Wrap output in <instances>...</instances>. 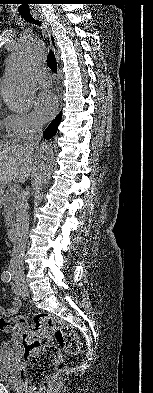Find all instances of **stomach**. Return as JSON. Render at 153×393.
I'll use <instances>...</instances> for the list:
<instances>
[{
    "mask_svg": "<svg viewBox=\"0 0 153 393\" xmlns=\"http://www.w3.org/2000/svg\"><path fill=\"white\" fill-rule=\"evenodd\" d=\"M2 195H3V189H0V198L2 197Z\"/></svg>",
    "mask_w": 153,
    "mask_h": 393,
    "instance_id": "obj_1",
    "label": "stomach"
}]
</instances>
